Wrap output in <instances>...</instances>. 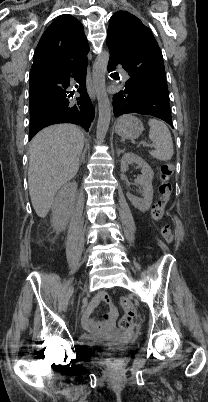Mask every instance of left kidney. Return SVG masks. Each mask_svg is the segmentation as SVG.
I'll list each match as a JSON object with an SVG mask.
<instances>
[{
	"instance_id": "obj_1",
	"label": "left kidney",
	"mask_w": 208,
	"mask_h": 402,
	"mask_svg": "<svg viewBox=\"0 0 208 402\" xmlns=\"http://www.w3.org/2000/svg\"><path fill=\"white\" fill-rule=\"evenodd\" d=\"M129 164H137L139 168H142L141 176H138L136 182L141 184L143 188V200L141 198H135L132 194H127L128 200H130L131 204H133L134 208L140 210V212H147L149 210L152 200H153V188H152V180H153V170L148 166L145 160L133 154V152H127L124 154L121 160V170L120 172H127V168Z\"/></svg>"
}]
</instances>
